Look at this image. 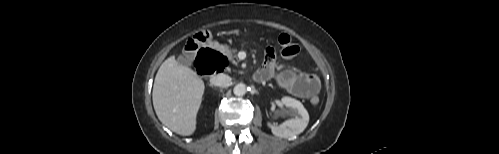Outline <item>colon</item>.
Wrapping results in <instances>:
<instances>
[{"mask_svg": "<svg viewBox=\"0 0 499 154\" xmlns=\"http://www.w3.org/2000/svg\"><path fill=\"white\" fill-rule=\"evenodd\" d=\"M211 35L208 31H202L194 35L191 39L188 41V46L191 48H197L199 44H204L210 41ZM278 45L280 47L281 54L284 58L286 59H295L298 57L300 53V48L295 43L292 38L287 35V34H281L278 37ZM228 65V62L226 58L218 53L214 52V66L215 70L221 71L224 70L225 67ZM321 100L318 96H314L311 98V103L314 106H318L320 104Z\"/></svg>", "mask_w": 499, "mask_h": 154, "instance_id": "colon-1", "label": "colon"}]
</instances>
